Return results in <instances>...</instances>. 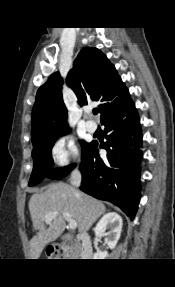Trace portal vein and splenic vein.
Wrapping results in <instances>:
<instances>
[{"instance_id":"portal-vein-and-splenic-vein-1","label":"portal vein and splenic vein","mask_w":175,"mask_h":287,"mask_svg":"<svg viewBox=\"0 0 175 287\" xmlns=\"http://www.w3.org/2000/svg\"><path fill=\"white\" fill-rule=\"evenodd\" d=\"M56 216V213H50L45 216V222L49 223L54 217ZM63 217L68 222V226L70 229H75L77 227V222L73 220L68 213H63Z\"/></svg>"}]
</instances>
